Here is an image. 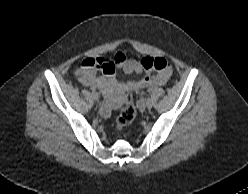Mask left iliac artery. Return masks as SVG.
Returning a JSON list of instances; mask_svg holds the SVG:
<instances>
[{
    "instance_id": "44dca946",
    "label": "left iliac artery",
    "mask_w": 248,
    "mask_h": 194,
    "mask_svg": "<svg viewBox=\"0 0 248 194\" xmlns=\"http://www.w3.org/2000/svg\"><path fill=\"white\" fill-rule=\"evenodd\" d=\"M148 91H149V92H152V89H149Z\"/></svg>"
}]
</instances>
